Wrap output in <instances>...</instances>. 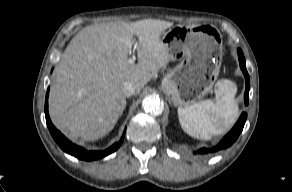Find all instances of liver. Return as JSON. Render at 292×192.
Returning a JSON list of instances; mask_svg holds the SVG:
<instances>
[{
	"label": "liver",
	"instance_id": "liver-1",
	"mask_svg": "<svg viewBox=\"0 0 292 192\" xmlns=\"http://www.w3.org/2000/svg\"><path fill=\"white\" fill-rule=\"evenodd\" d=\"M172 25L144 19L95 24L79 31L55 70L49 96L54 125L86 141L107 135L126 106L124 83L132 82L139 94L171 60L160 36ZM134 35L138 63L130 64Z\"/></svg>",
	"mask_w": 292,
	"mask_h": 192
}]
</instances>
